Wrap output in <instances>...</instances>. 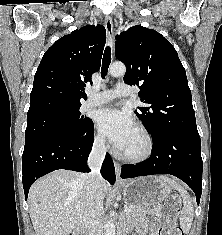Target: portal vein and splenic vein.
I'll return each mask as SVG.
<instances>
[{
  "instance_id": "obj_1",
  "label": "portal vein and splenic vein",
  "mask_w": 222,
  "mask_h": 235,
  "mask_svg": "<svg viewBox=\"0 0 222 235\" xmlns=\"http://www.w3.org/2000/svg\"><path fill=\"white\" fill-rule=\"evenodd\" d=\"M124 211H125V212H131L132 209H131V208H128L127 206H125V207H124Z\"/></svg>"
}]
</instances>
